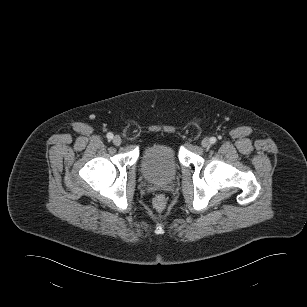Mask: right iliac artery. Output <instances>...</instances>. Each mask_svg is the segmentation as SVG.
Here are the masks:
<instances>
[{"label": "right iliac artery", "mask_w": 307, "mask_h": 307, "mask_svg": "<svg viewBox=\"0 0 307 307\" xmlns=\"http://www.w3.org/2000/svg\"><path fill=\"white\" fill-rule=\"evenodd\" d=\"M107 138H108V140L113 139V134H112L111 132H109V133L107 134Z\"/></svg>", "instance_id": "82829eb1"}]
</instances>
